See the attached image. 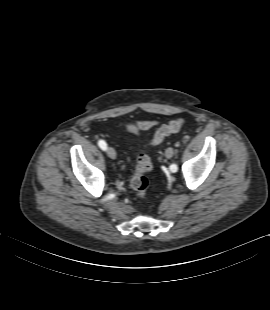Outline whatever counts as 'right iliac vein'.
I'll return each mask as SVG.
<instances>
[{
  "label": "right iliac vein",
  "mask_w": 270,
  "mask_h": 310,
  "mask_svg": "<svg viewBox=\"0 0 270 310\" xmlns=\"http://www.w3.org/2000/svg\"><path fill=\"white\" fill-rule=\"evenodd\" d=\"M107 155L111 158V159H115L116 158V151L114 150V148L112 147H108L106 150Z\"/></svg>",
  "instance_id": "right-iliac-vein-1"
}]
</instances>
